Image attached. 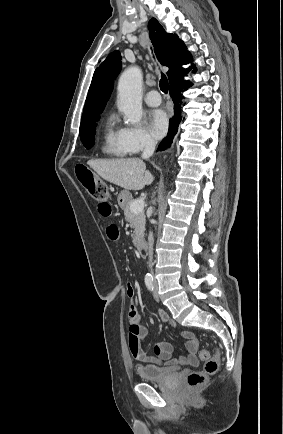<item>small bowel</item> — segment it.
Instances as JSON below:
<instances>
[{
	"label": "small bowel",
	"instance_id": "obj_1",
	"mask_svg": "<svg viewBox=\"0 0 283 434\" xmlns=\"http://www.w3.org/2000/svg\"><path fill=\"white\" fill-rule=\"evenodd\" d=\"M98 213L102 217H110L112 215V207L105 200L98 203L97 206ZM107 238L115 242L119 238V231L115 225H110L106 229ZM127 294L130 298V305L128 310V323H129V336L128 344L132 357L140 362L137 366L139 371L143 365L142 364H157V365H191L196 366L199 360L196 356L198 350V342L195 335L191 331H182L181 336L186 342V356H180L178 358H171L172 345L169 342H163L154 347V355L147 354L142 349V344L146 340L148 332L147 329L142 325L140 316L138 314L135 302H134V290L129 284L127 287ZM160 318L167 322L171 327H176L175 321L171 320L164 311H158Z\"/></svg>",
	"mask_w": 283,
	"mask_h": 434
}]
</instances>
